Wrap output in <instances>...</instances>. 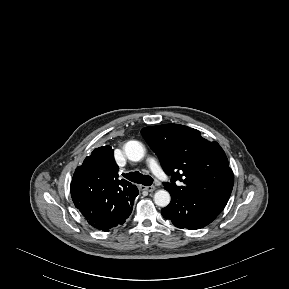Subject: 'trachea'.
<instances>
[{
    "label": "trachea",
    "instance_id": "obj_1",
    "mask_svg": "<svg viewBox=\"0 0 289 289\" xmlns=\"http://www.w3.org/2000/svg\"><path fill=\"white\" fill-rule=\"evenodd\" d=\"M126 179L134 182V183H138V184H142L145 186H151L153 183V179L152 177H150L149 175H142L141 173H139L138 171L135 172H130L127 174H122Z\"/></svg>",
    "mask_w": 289,
    "mask_h": 289
}]
</instances>
